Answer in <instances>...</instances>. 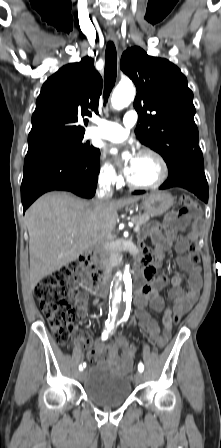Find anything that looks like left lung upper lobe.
Returning a JSON list of instances; mask_svg holds the SVG:
<instances>
[{
	"instance_id": "1",
	"label": "left lung upper lobe",
	"mask_w": 221,
	"mask_h": 448,
	"mask_svg": "<svg viewBox=\"0 0 221 448\" xmlns=\"http://www.w3.org/2000/svg\"><path fill=\"white\" fill-rule=\"evenodd\" d=\"M120 67L137 88L134 107L140 124L135 132L141 143L158 152L167 164L200 151L193 93L180 69L137 46L122 54Z\"/></svg>"
}]
</instances>
